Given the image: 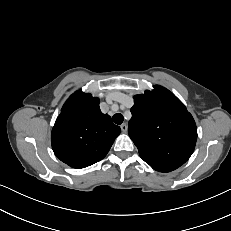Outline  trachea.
Returning <instances> with one entry per match:
<instances>
[{
	"mask_svg": "<svg viewBox=\"0 0 231 231\" xmlns=\"http://www.w3.org/2000/svg\"><path fill=\"white\" fill-rule=\"evenodd\" d=\"M112 119H113L114 123L120 125L123 122L124 117L121 113H116L113 115Z\"/></svg>",
	"mask_w": 231,
	"mask_h": 231,
	"instance_id": "trachea-1",
	"label": "trachea"
}]
</instances>
